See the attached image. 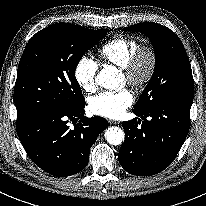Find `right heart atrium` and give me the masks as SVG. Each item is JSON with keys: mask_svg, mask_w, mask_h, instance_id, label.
Masks as SVG:
<instances>
[{"mask_svg": "<svg viewBox=\"0 0 206 206\" xmlns=\"http://www.w3.org/2000/svg\"><path fill=\"white\" fill-rule=\"evenodd\" d=\"M97 62L89 56L81 57L74 69V78L80 89L91 94L96 90Z\"/></svg>", "mask_w": 206, "mask_h": 206, "instance_id": "right-heart-atrium-1", "label": "right heart atrium"}]
</instances>
